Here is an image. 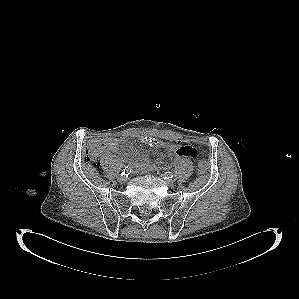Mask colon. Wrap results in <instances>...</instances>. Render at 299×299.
<instances>
[{
  "label": "colon",
  "instance_id": "colon-1",
  "mask_svg": "<svg viewBox=\"0 0 299 299\" xmlns=\"http://www.w3.org/2000/svg\"><path fill=\"white\" fill-rule=\"evenodd\" d=\"M105 142L101 140H93L90 142L88 149L86 151V161L93 163L95 166L98 165V158L104 148ZM207 163L202 158L197 161V171L200 175H203L207 171Z\"/></svg>",
  "mask_w": 299,
  "mask_h": 299
}]
</instances>
